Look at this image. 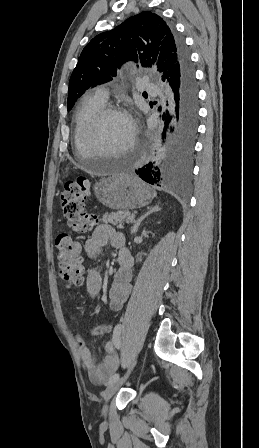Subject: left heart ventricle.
Instances as JSON below:
<instances>
[{"instance_id": "left-heart-ventricle-1", "label": "left heart ventricle", "mask_w": 259, "mask_h": 448, "mask_svg": "<svg viewBox=\"0 0 259 448\" xmlns=\"http://www.w3.org/2000/svg\"><path fill=\"white\" fill-rule=\"evenodd\" d=\"M100 139L108 150L87 148L82 151L84 162L90 158H105L128 150L133 139V130L126 117L119 115L110 116L102 125Z\"/></svg>"}]
</instances>
